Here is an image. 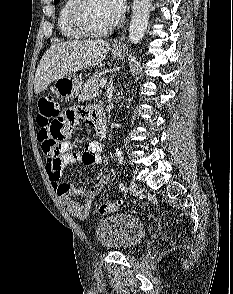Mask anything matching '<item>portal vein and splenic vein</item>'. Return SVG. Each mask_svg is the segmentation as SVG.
<instances>
[{
  "label": "portal vein and splenic vein",
  "mask_w": 233,
  "mask_h": 294,
  "mask_svg": "<svg viewBox=\"0 0 233 294\" xmlns=\"http://www.w3.org/2000/svg\"><path fill=\"white\" fill-rule=\"evenodd\" d=\"M107 79L106 78H102L100 81V87L103 88L106 84Z\"/></svg>",
  "instance_id": "obj_1"
}]
</instances>
